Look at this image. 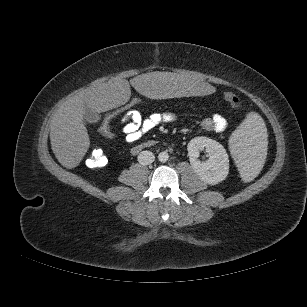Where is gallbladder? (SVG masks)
<instances>
[{"mask_svg":"<svg viewBox=\"0 0 307 307\" xmlns=\"http://www.w3.org/2000/svg\"><path fill=\"white\" fill-rule=\"evenodd\" d=\"M84 118L86 121L90 123H94L100 120L99 114L90 108H86L84 113Z\"/></svg>","mask_w":307,"mask_h":307,"instance_id":"bac80fb5","label":"gallbladder"}]
</instances>
